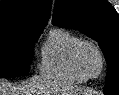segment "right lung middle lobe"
Masks as SVG:
<instances>
[{
	"instance_id": "obj_1",
	"label": "right lung middle lobe",
	"mask_w": 119,
	"mask_h": 95,
	"mask_svg": "<svg viewBox=\"0 0 119 95\" xmlns=\"http://www.w3.org/2000/svg\"><path fill=\"white\" fill-rule=\"evenodd\" d=\"M42 31L19 28L0 34V78L28 74L35 42Z\"/></svg>"
}]
</instances>
